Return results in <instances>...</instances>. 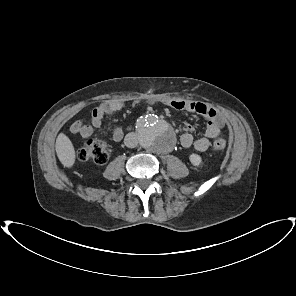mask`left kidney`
I'll list each match as a JSON object with an SVG mask.
<instances>
[{
    "label": "left kidney",
    "mask_w": 296,
    "mask_h": 296,
    "mask_svg": "<svg viewBox=\"0 0 296 296\" xmlns=\"http://www.w3.org/2000/svg\"><path fill=\"white\" fill-rule=\"evenodd\" d=\"M189 160L192 163V165L199 167L202 165V158L200 155L192 153L189 156Z\"/></svg>",
    "instance_id": "5707ae66"
}]
</instances>
